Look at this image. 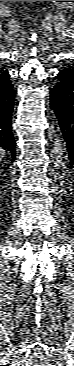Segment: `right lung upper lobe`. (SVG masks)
Instances as JSON below:
<instances>
[{"label": "right lung upper lobe", "instance_id": "cb5924a9", "mask_svg": "<svg viewBox=\"0 0 74 366\" xmlns=\"http://www.w3.org/2000/svg\"><path fill=\"white\" fill-rule=\"evenodd\" d=\"M9 72L0 67V79H3Z\"/></svg>", "mask_w": 74, "mask_h": 366}]
</instances>
